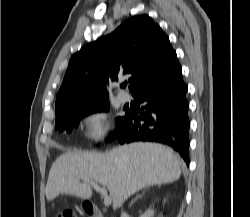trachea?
Wrapping results in <instances>:
<instances>
[{"label": "trachea", "instance_id": "3493384b", "mask_svg": "<svg viewBox=\"0 0 250 217\" xmlns=\"http://www.w3.org/2000/svg\"><path fill=\"white\" fill-rule=\"evenodd\" d=\"M126 85H127V83H124V84L122 85V87H126Z\"/></svg>", "mask_w": 250, "mask_h": 217}]
</instances>
